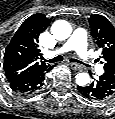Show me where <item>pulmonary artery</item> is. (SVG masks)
Wrapping results in <instances>:
<instances>
[{
	"instance_id": "1",
	"label": "pulmonary artery",
	"mask_w": 115,
	"mask_h": 119,
	"mask_svg": "<svg viewBox=\"0 0 115 119\" xmlns=\"http://www.w3.org/2000/svg\"><path fill=\"white\" fill-rule=\"evenodd\" d=\"M76 51L79 58L90 67H97L93 55L90 53L87 44V32L83 28H77L72 36L60 47L57 52L64 53Z\"/></svg>"
}]
</instances>
